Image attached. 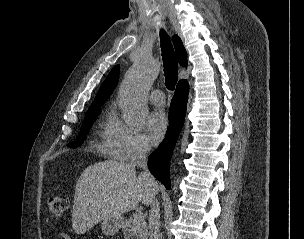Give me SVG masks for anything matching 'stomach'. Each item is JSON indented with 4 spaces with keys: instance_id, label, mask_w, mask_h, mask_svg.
<instances>
[{
    "instance_id": "0dacf381",
    "label": "stomach",
    "mask_w": 304,
    "mask_h": 239,
    "mask_svg": "<svg viewBox=\"0 0 304 239\" xmlns=\"http://www.w3.org/2000/svg\"><path fill=\"white\" fill-rule=\"evenodd\" d=\"M122 226L121 217L118 218H107L101 223V229L104 235L113 236L115 235Z\"/></svg>"
}]
</instances>
